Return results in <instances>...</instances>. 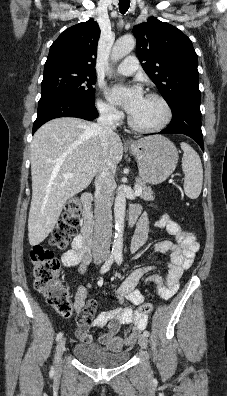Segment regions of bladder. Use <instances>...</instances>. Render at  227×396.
Segmentation results:
<instances>
[{
    "label": "bladder",
    "instance_id": "bladder-1",
    "mask_svg": "<svg viewBox=\"0 0 227 396\" xmlns=\"http://www.w3.org/2000/svg\"><path fill=\"white\" fill-rule=\"evenodd\" d=\"M73 352L81 363L94 369L116 368L130 358L127 351H111L94 343L77 344Z\"/></svg>",
    "mask_w": 227,
    "mask_h": 396
}]
</instances>
